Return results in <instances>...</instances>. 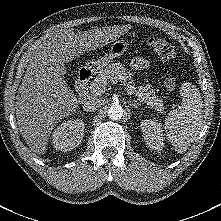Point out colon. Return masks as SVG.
Returning a JSON list of instances; mask_svg holds the SVG:
<instances>
[{"mask_svg": "<svg viewBox=\"0 0 221 221\" xmlns=\"http://www.w3.org/2000/svg\"><path fill=\"white\" fill-rule=\"evenodd\" d=\"M147 45L162 61H170L176 56L174 47L165 39L152 36L148 39ZM176 84L177 81L174 76L168 75L162 79V86L167 91H173Z\"/></svg>", "mask_w": 221, "mask_h": 221, "instance_id": "colon-1", "label": "colon"}]
</instances>
